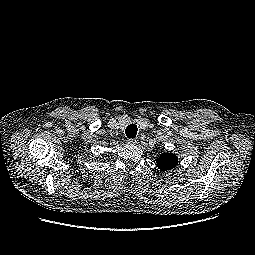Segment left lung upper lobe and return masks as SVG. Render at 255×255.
<instances>
[{"instance_id": "5c2ea615", "label": "left lung upper lobe", "mask_w": 255, "mask_h": 255, "mask_svg": "<svg viewBox=\"0 0 255 255\" xmlns=\"http://www.w3.org/2000/svg\"><path fill=\"white\" fill-rule=\"evenodd\" d=\"M159 169L162 171H170L175 168L178 164V158L172 153H163L156 159Z\"/></svg>"}]
</instances>
